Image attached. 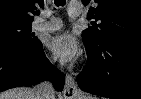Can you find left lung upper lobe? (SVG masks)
<instances>
[{
  "mask_svg": "<svg viewBox=\"0 0 141 99\" xmlns=\"http://www.w3.org/2000/svg\"><path fill=\"white\" fill-rule=\"evenodd\" d=\"M86 5L90 0H82ZM87 17L100 21L83 31V41L91 48H99L114 40L141 41L140 0H95Z\"/></svg>",
  "mask_w": 141,
  "mask_h": 99,
  "instance_id": "obj_1",
  "label": "left lung upper lobe"
}]
</instances>
